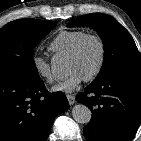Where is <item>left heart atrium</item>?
I'll return each mask as SVG.
<instances>
[{
    "mask_svg": "<svg viewBox=\"0 0 141 141\" xmlns=\"http://www.w3.org/2000/svg\"><path fill=\"white\" fill-rule=\"evenodd\" d=\"M84 81V77L76 71L70 72L66 78L53 87L54 91L72 92Z\"/></svg>",
    "mask_w": 141,
    "mask_h": 141,
    "instance_id": "1",
    "label": "left heart atrium"
}]
</instances>
